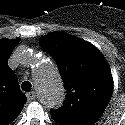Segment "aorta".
<instances>
[{
  "instance_id": "obj_1",
  "label": "aorta",
  "mask_w": 125,
  "mask_h": 125,
  "mask_svg": "<svg viewBox=\"0 0 125 125\" xmlns=\"http://www.w3.org/2000/svg\"><path fill=\"white\" fill-rule=\"evenodd\" d=\"M38 97L46 108H58L64 100V87L56 66L51 61L40 62L34 69Z\"/></svg>"
}]
</instances>
